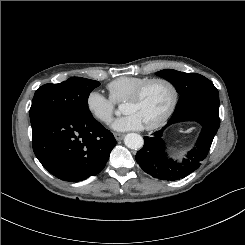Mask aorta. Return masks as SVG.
<instances>
[{
    "mask_svg": "<svg viewBox=\"0 0 245 245\" xmlns=\"http://www.w3.org/2000/svg\"><path fill=\"white\" fill-rule=\"evenodd\" d=\"M124 143L128 148L138 150L143 147L144 141L141 135L129 133L125 136Z\"/></svg>",
    "mask_w": 245,
    "mask_h": 245,
    "instance_id": "obj_1",
    "label": "aorta"
}]
</instances>
